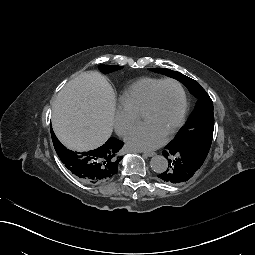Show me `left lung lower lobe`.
I'll use <instances>...</instances> for the list:
<instances>
[{
  "mask_svg": "<svg viewBox=\"0 0 255 255\" xmlns=\"http://www.w3.org/2000/svg\"><path fill=\"white\" fill-rule=\"evenodd\" d=\"M163 156L168 159L165 172H160L158 177L167 183H185L191 178L194 172L200 174V167L203 163L196 151L187 146L164 148Z\"/></svg>",
  "mask_w": 255,
  "mask_h": 255,
  "instance_id": "left-lung-lower-lobe-1",
  "label": "left lung lower lobe"
}]
</instances>
